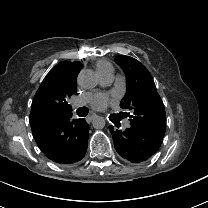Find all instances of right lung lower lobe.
Returning <instances> with one entry per match:
<instances>
[{
  "instance_id": "obj_1",
  "label": "right lung lower lobe",
  "mask_w": 208,
  "mask_h": 208,
  "mask_svg": "<svg viewBox=\"0 0 208 208\" xmlns=\"http://www.w3.org/2000/svg\"><path fill=\"white\" fill-rule=\"evenodd\" d=\"M71 117H31L30 125L40 150L53 162L72 164L86 154L89 125Z\"/></svg>"
}]
</instances>
